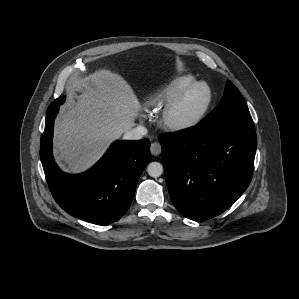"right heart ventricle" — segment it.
Returning <instances> with one entry per match:
<instances>
[{"mask_svg":"<svg viewBox=\"0 0 299 299\" xmlns=\"http://www.w3.org/2000/svg\"><path fill=\"white\" fill-rule=\"evenodd\" d=\"M195 81V76L191 74H184L173 78L146 98V108L152 112L160 111L182 89Z\"/></svg>","mask_w":299,"mask_h":299,"instance_id":"e07e8e85","label":"right heart ventricle"}]
</instances>
